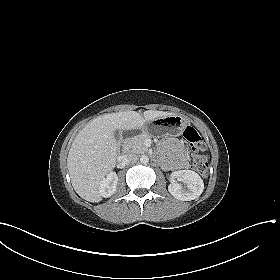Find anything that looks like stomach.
<instances>
[{"label":"stomach","instance_id":"0dacf381","mask_svg":"<svg viewBox=\"0 0 280 280\" xmlns=\"http://www.w3.org/2000/svg\"><path fill=\"white\" fill-rule=\"evenodd\" d=\"M186 124L187 122L184 117L180 115H171L147 122L145 126L142 127V130L145 132L162 130L170 136H179Z\"/></svg>","mask_w":280,"mask_h":280}]
</instances>
